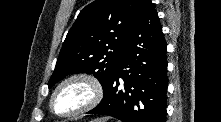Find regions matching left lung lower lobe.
Returning a JSON list of instances; mask_svg holds the SVG:
<instances>
[{
    "mask_svg": "<svg viewBox=\"0 0 221 122\" xmlns=\"http://www.w3.org/2000/svg\"><path fill=\"white\" fill-rule=\"evenodd\" d=\"M166 50L157 12L151 0H141L104 98L88 113L123 122H166Z\"/></svg>",
    "mask_w": 221,
    "mask_h": 122,
    "instance_id": "obj_1",
    "label": "left lung lower lobe"
}]
</instances>
